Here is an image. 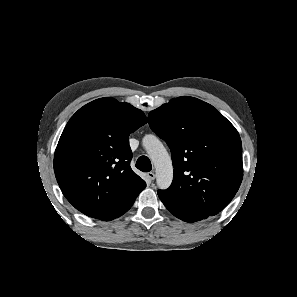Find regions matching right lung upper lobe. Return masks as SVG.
I'll use <instances>...</instances> for the list:
<instances>
[{
  "label": "right lung upper lobe",
  "mask_w": 297,
  "mask_h": 297,
  "mask_svg": "<svg viewBox=\"0 0 297 297\" xmlns=\"http://www.w3.org/2000/svg\"><path fill=\"white\" fill-rule=\"evenodd\" d=\"M146 123L140 109L110 97L86 104L71 117L55 150L54 171L77 210L110 221L146 187L130 167L128 141Z\"/></svg>",
  "instance_id": "right-lung-upper-lobe-1"
}]
</instances>
